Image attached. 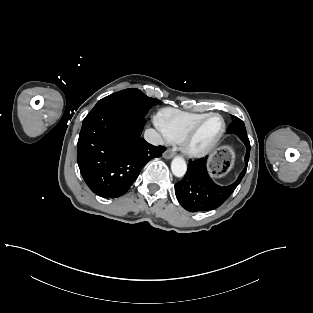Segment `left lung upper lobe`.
I'll return each instance as SVG.
<instances>
[{"label":"left lung upper lobe","instance_id":"left-lung-upper-lobe-1","mask_svg":"<svg viewBox=\"0 0 313 313\" xmlns=\"http://www.w3.org/2000/svg\"><path fill=\"white\" fill-rule=\"evenodd\" d=\"M228 134H240L245 133L246 134V128L244 125V122L237 118L236 116H232V122L227 128Z\"/></svg>","mask_w":313,"mask_h":313}]
</instances>
